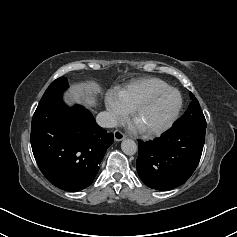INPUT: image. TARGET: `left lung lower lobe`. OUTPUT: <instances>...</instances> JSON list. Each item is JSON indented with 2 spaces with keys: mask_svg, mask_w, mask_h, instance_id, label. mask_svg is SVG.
Instances as JSON below:
<instances>
[{
  "mask_svg": "<svg viewBox=\"0 0 237 237\" xmlns=\"http://www.w3.org/2000/svg\"><path fill=\"white\" fill-rule=\"evenodd\" d=\"M205 131L204 127H172L158 139L138 141L136 168L144 184L163 191L185 183L200 161Z\"/></svg>",
  "mask_w": 237,
  "mask_h": 237,
  "instance_id": "1",
  "label": "left lung lower lobe"
}]
</instances>
